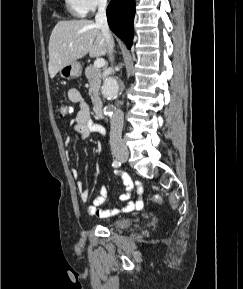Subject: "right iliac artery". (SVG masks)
<instances>
[{"instance_id": "1", "label": "right iliac artery", "mask_w": 243, "mask_h": 289, "mask_svg": "<svg viewBox=\"0 0 243 289\" xmlns=\"http://www.w3.org/2000/svg\"><path fill=\"white\" fill-rule=\"evenodd\" d=\"M112 166L115 167V168H118V167L121 166V163H120L119 161H117V160H114V161L112 162Z\"/></svg>"}]
</instances>
